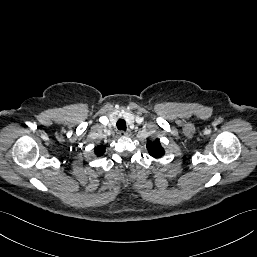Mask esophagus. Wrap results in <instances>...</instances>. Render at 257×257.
Returning <instances> with one entry per match:
<instances>
[{
  "mask_svg": "<svg viewBox=\"0 0 257 257\" xmlns=\"http://www.w3.org/2000/svg\"><path fill=\"white\" fill-rule=\"evenodd\" d=\"M120 136H130L131 132L130 131H120Z\"/></svg>",
  "mask_w": 257,
  "mask_h": 257,
  "instance_id": "1",
  "label": "esophagus"
}]
</instances>
